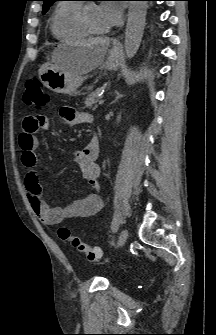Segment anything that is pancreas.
I'll return each mask as SVG.
<instances>
[{
	"mask_svg": "<svg viewBox=\"0 0 216 335\" xmlns=\"http://www.w3.org/2000/svg\"><path fill=\"white\" fill-rule=\"evenodd\" d=\"M100 90H96L89 94V96L85 100V107L95 110L97 108V103L100 100L99 96Z\"/></svg>",
	"mask_w": 216,
	"mask_h": 335,
	"instance_id": "1",
	"label": "pancreas"
}]
</instances>
